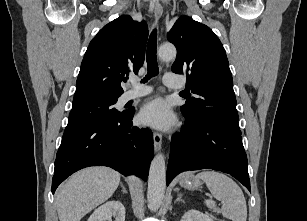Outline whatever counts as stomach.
<instances>
[{
  "label": "stomach",
  "instance_id": "obj_1",
  "mask_svg": "<svg viewBox=\"0 0 307 221\" xmlns=\"http://www.w3.org/2000/svg\"><path fill=\"white\" fill-rule=\"evenodd\" d=\"M180 185L188 190H197L201 187V179L192 174H185L180 178Z\"/></svg>",
  "mask_w": 307,
  "mask_h": 221
}]
</instances>
